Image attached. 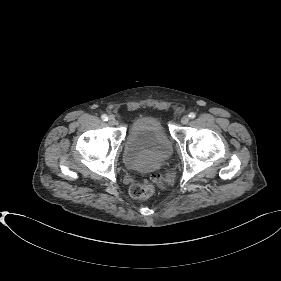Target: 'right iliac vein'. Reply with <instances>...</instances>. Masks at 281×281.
I'll use <instances>...</instances> for the list:
<instances>
[{"label": "right iliac vein", "mask_w": 281, "mask_h": 281, "mask_svg": "<svg viewBox=\"0 0 281 281\" xmlns=\"http://www.w3.org/2000/svg\"><path fill=\"white\" fill-rule=\"evenodd\" d=\"M108 123L110 125H115L116 124V119L113 116H110L108 119Z\"/></svg>", "instance_id": "obj_1"}]
</instances>
